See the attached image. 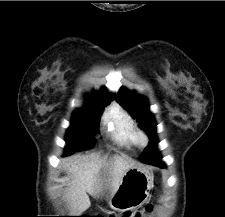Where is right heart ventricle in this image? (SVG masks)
I'll use <instances>...</instances> for the list:
<instances>
[{
    "instance_id": "1",
    "label": "right heart ventricle",
    "mask_w": 225,
    "mask_h": 217,
    "mask_svg": "<svg viewBox=\"0 0 225 217\" xmlns=\"http://www.w3.org/2000/svg\"><path fill=\"white\" fill-rule=\"evenodd\" d=\"M108 120L113 124L112 138L118 144L126 147L138 143V133L129 115L118 105L113 106L108 113Z\"/></svg>"
}]
</instances>
